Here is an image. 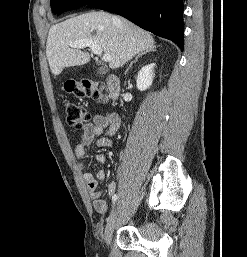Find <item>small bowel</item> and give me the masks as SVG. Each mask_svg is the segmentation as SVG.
Masks as SVG:
<instances>
[{
  "label": "small bowel",
  "mask_w": 247,
  "mask_h": 257,
  "mask_svg": "<svg viewBox=\"0 0 247 257\" xmlns=\"http://www.w3.org/2000/svg\"><path fill=\"white\" fill-rule=\"evenodd\" d=\"M120 124L119 116L115 113H108L104 116H95L93 122L86 124L83 127V132L79 141L75 146V156L80 167H83L86 162V147L92 144L97 136L104 135L96 140L95 145L98 148H105L111 146L110 136L116 131ZM96 160L99 164L106 163V156L98 154ZM106 173L104 170H99L95 174L85 173L83 179L87 185L90 197L93 201L94 209L100 213L105 214L108 210V202L101 198L99 182L104 180ZM116 192L115 182H110L107 185V193L109 196H114Z\"/></svg>",
  "instance_id": "c3829d8e"
}]
</instances>
